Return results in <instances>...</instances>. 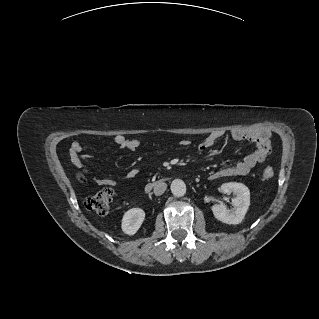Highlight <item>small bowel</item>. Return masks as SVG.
Wrapping results in <instances>:
<instances>
[{
    "instance_id": "obj_1",
    "label": "small bowel",
    "mask_w": 319,
    "mask_h": 319,
    "mask_svg": "<svg viewBox=\"0 0 319 319\" xmlns=\"http://www.w3.org/2000/svg\"><path fill=\"white\" fill-rule=\"evenodd\" d=\"M269 133H246L241 130H232L230 137L233 140H250L254 143V149L241 161L236 162L231 167L219 168L209 174L210 180H216L230 176H244L248 174L252 168L262 163L269 152ZM223 133L214 132L208 135L203 141L198 144V150L201 153H207L211 150L222 138ZM183 146H188L190 142L183 140L181 142ZM113 146L118 149H125L129 151H135L140 148L141 143L136 139H128L123 135H117L113 139ZM85 148L78 142H74L71 146V159L72 162L79 166L84 167V158L82 153ZM136 177V171H130L125 175V179H134ZM94 182L99 186H116L119 180L114 178H99L93 177Z\"/></svg>"
}]
</instances>
